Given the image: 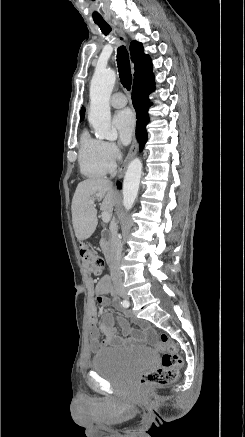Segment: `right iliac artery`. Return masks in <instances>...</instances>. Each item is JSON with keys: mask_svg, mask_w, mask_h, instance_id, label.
Masks as SVG:
<instances>
[{"mask_svg": "<svg viewBox=\"0 0 245 437\" xmlns=\"http://www.w3.org/2000/svg\"><path fill=\"white\" fill-rule=\"evenodd\" d=\"M121 305L125 308L129 307V302L127 300H122Z\"/></svg>", "mask_w": 245, "mask_h": 437, "instance_id": "1", "label": "right iliac artery"}]
</instances>
